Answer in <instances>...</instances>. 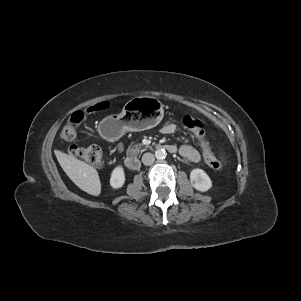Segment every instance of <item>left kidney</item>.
<instances>
[{
	"mask_svg": "<svg viewBox=\"0 0 301 301\" xmlns=\"http://www.w3.org/2000/svg\"><path fill=\"white\" fill-rule=\"evenodd\" d=\"M192 186L201 192H206L212 187V181L202 169H193L190 173Z\"/></svg>",
	"mask_w": 301,
	"mask_h": 301,
	"instance_id": "left-kidney-1",
	"label": "left kidney"
}]
</instances>
